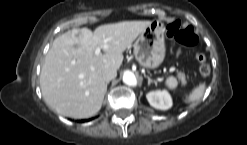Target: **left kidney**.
I'll use <instances>...</instances> for the list:
<instances>
[{
	"mask_svg": "<svg viewBox=\"0 0 247 145\" xmlns=\"http://www.w3.org/2000/svg\"><path fill=\"white\" fill-rule=\"evenodd\" d=\"M146 98L149 104L156 109L168 110L173 105L172 98L166 90L151 91L147 93Z\"/></svg>",
	"mask_w": 247,
	"mask_h": 145,
	"instance_id": "left-kidney-1",
	"label": "left kidney"
}]
</instances>
